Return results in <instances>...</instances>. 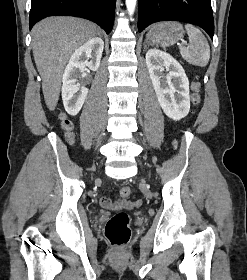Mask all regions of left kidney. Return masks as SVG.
<instances>
[{"mask_svg": "<svg viewBox=\"0 0 247 280\" xmlns=\"http://www.w3.org/2000/svg\"><path fill=\"white\" fill-rule=\"evenodd\" d=\"M146 65L163 112L179 121L190 110L189 81L183 67L170 54L150 49L146 53ZM164 67L169 71L162 79Z\"/></svg>", "mask_w": 247, "mask_h": 280, "instance_id": "left-kidney-1", "label": "left kidney"}]
</instances>
